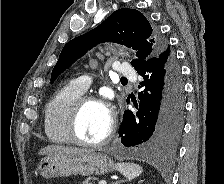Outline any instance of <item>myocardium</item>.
I'll return each instance as SVG.
<instances>
[{
	"label": "myocardium",
	"instance_id": "obj_1",
	"mask_svg": "<svg viewBox=\"0 0 224 184\" xmlns=\"http://www.w3.org/2000/svg\"><path fill=\"white\" fill-rule=\"evenodd\" d=\"M89 103H98L103 105L107 109L110 117L107 134L101 140L94 142L83 140L78 134V122L81 112L84 109V107ZM116 126H117L116 114L112 106L107 101H105L103 98L96 97L93 95H82L74 102L70 110L67 121V134L70 141L74 144L83 147L96 148L107 144L113 138L116 131Z\"/></svg>",
	"mask_w": 224,
	"mask_h": 184
}]
</instances>
